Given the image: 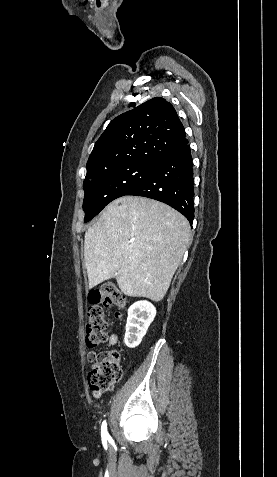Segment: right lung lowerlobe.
I'll use <instances>...</instances> for the list:
<instances>
[{"instance_id": "obj_1", "label": "right lung lower lobe", "mask_w": 277, "mask_h": 477, "mask_svg": "<svg viewBox=\"0 0 277 477\" xmlns=\"http://www.w3.org/2000/svg\"><path fill=\"white\" fill-rule=\"evenodd\" d=\"M193 163L187 143L159 160L151 173L126 195L143 196L166 203L182 213L190 222L194 219Z\"/></svg>"}]
</instances>
